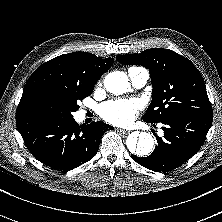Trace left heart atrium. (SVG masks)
I'll return each instance as SVG.
<instances>
[{"instance_id":"39dd6f15","label":"left heart atrium","mask_w":222,"mask_h":222,"mask_svg":"<svg viewBox=\"0 0 222 222\" xmlns=\"http://www.w3.org/2000/svg\"><path fill=\"white\" fill-rule=\"evenodd\" d=\"M140 108L141 104L138 99H118L103 104L100 115L110 123L126 125L135 119Z\"/></svg>"}]
</instances>
